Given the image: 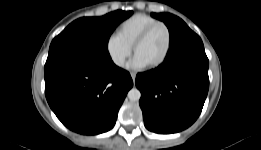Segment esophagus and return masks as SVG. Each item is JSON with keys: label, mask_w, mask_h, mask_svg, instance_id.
<instances>
[{"label": "esophagus", "mask_w": 261, "mask_h": 150, "mask_svg": "<svg viewBox=\"0 0 261 150\" xmlns=\"http://www.w3.org/2000/svg\"><path fill=\"white\" fill-rule=\"evenodd\" d=\"M130 75H131V78H132L133 82H135V79H136V73L131 72Z\"/></svg>", "instance_id": "34e87169"}]
</instances>
